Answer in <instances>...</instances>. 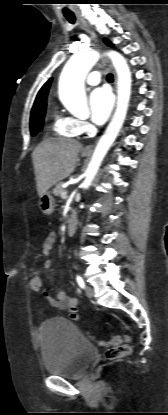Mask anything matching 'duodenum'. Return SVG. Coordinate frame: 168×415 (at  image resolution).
<instances>
[{
  "label": "duodenum",
  "instance_id": "410a0bca",
  "mask_svg": "<svg viewBox=\"0 0 168 415\" xmlns=\"http://www.w3.org/2000/svg\"><path fill=\"white\" fill-rule=\"evenodd\" d=\"M76 229H77V216L75 212H72L67 222L65 232L66 234L70 235V234L75 233Z\"/></svg>",
  "mask_w": 168,
  "mask_h": 415
}]
</instances>
